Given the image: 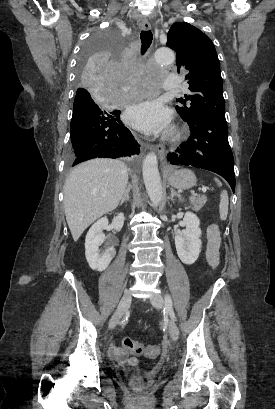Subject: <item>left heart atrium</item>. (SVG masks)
<instances>
[{
    "label": "left heart atrium",
    "instance_id": "obj_1",
    "mask_svg": "<svg viewBox=\"0 0 275 409\" xmlns=\"http://www.w3.org/2000/svg\"><path fill=\"white\" fill-rule=\"evenodd\" d=\"M128 123L146 134L166 131L171 122L170 111L156 100L134 103L126 113Z\"/></svg>",
    "mask_w": 275,
    "mask_h": 409
}]
</instances>
